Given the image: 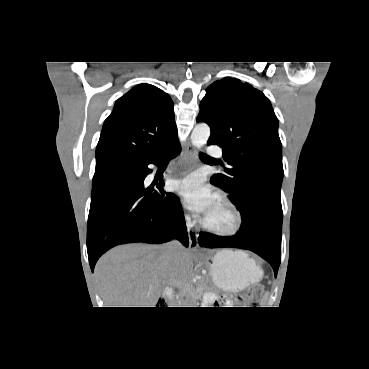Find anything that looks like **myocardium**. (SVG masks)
I'll list each match as a JSON object with an SVG mask.
<instances>
[{
	"mask_svg": "<svg viewBox=\"0 0 369 369\" xmlns=\"http://www.w3.org/2000/svg\"><path fill=\"white\" fill-rule=\"evenodd\" d=\"M216 199L222 206H224L230 212L232 216L231 226L227 229H219L214 226H211L204 220V218H202L200 220L201 228L206 232L219 237H231L236 235L240 231L243 223V218L240 210L227 196L223 194H218L216 196Z\"/></svg>",
	"mask_w": 369,
	"mask_h": 369,
	"instance_id": "obj_1",
	"label": "myocardium"
}]
</instances>
